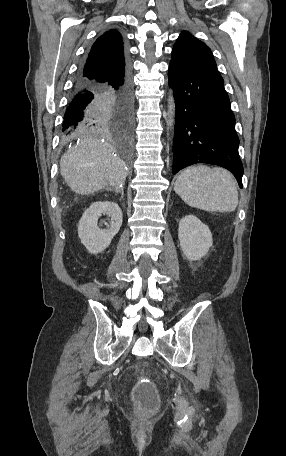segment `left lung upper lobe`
Returning <instances> with one entry per match:
<instances>
[{"instance_id": "obj_1", "label": "left lung upper lobe", "mask_w": 286, "mask_h": 456, "mask_svg": "<svg viewBox=\"0 0 286 456\" xmlns=\"http://www.w3.org/2000/svg\"><path fill=\"white\" fill-rule=\"evenodd\" d=\"M171 62L208 74L224 83L210 48L187 31H183L176 40Z\"/></svg>"}]
</instances>
